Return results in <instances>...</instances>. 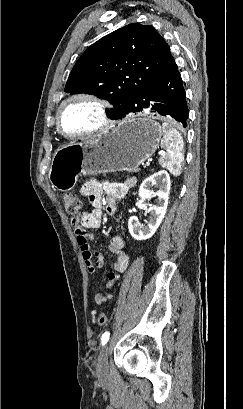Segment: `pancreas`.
<instances>
[{
	"label": "pancreas",
	"instance_id": "1",
	"mask_svg": "<svg viewBox=\"0 0 243 409\" xmlns=\"http://www.w3.org/2000/svg\"><path fill=\"white\" fill-rule=\"evenodd\" d=\"M134 172H138V169L133 170Z\"/></svg>",
	"mask_w": 243,
	"mask_h": 409
}]
</instances>
